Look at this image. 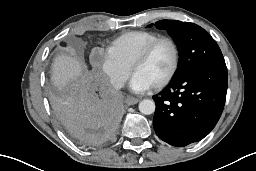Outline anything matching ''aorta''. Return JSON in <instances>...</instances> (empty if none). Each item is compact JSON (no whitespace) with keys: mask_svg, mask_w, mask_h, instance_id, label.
Instances as JSON below:
<instances>
[{"mask_svg":"<svg viewBox=\"0 0 256 171\" xmlns=\"http://www.w3.org/2000/svg\"><path fill=\"white\" fill-rule=\"evenodd\" d=\"M139 111L144 115H150L155 111V102L150 99H144L139 103Z\"/></svg>","mask_w":256,"mask_h":171,"instance_id":"obj_1","label":"aorta"}]
</instances>
